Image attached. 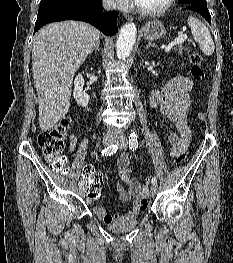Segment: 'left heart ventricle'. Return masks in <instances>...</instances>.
Segmentation results:
<instances>
[{
  "label": "left heart ventricle",
  "instance_id": "left-heart-ventricle-1",
  "mask_svg": "<svg viewBox=\"0 0 233 263\" xmlns=\"http://www.w3.org/2000/svg\"><path fill=\"white\" fill-rule=\"evenodd\" d=\"M167 0H137L136 4L144 9H157L163 6Z\"/></svg>",
  "mask_w": 233,
  "mask_h": 263
}]
</instances>
